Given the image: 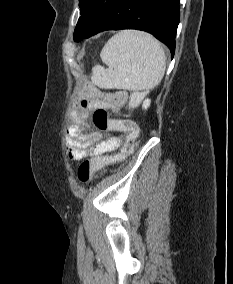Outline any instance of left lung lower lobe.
Returning <instances> with one entry per match:
<instances>
[{"label":"left lung lower lobe","mask_w":233,"mask_h":284,"mask_svg":"<svg viewBox=\"0 0 233 284\" xmlns=\"http://www.w3.org/2000/svg\"><path fill=\"white\" fill-rule=\"evenodd\" d=\"M180 0H107L84 37L119 29L151 33L168 46L173 57Z\"/></svg>","instance_id":"1"}]
</instances>
